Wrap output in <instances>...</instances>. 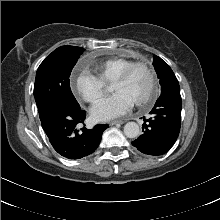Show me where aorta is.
Masks as SVG:
<instances>
[{
	"label": "aorta",
	"mask_w": 220,
	"mask_h": 220,
	"mask_svg": "<svg viewBox=\"0 0 220 220\" xmlns=\"http://www.w3.org/2000/svg\"><path fill=\"white\" fill-rule=\"evenodd\" d=\"M124 134L128 138H137L140 135L139 125L135 122H128L124 126Z\"/></svg>",
	"instance_id": "obj_1"
}]
</instances>
